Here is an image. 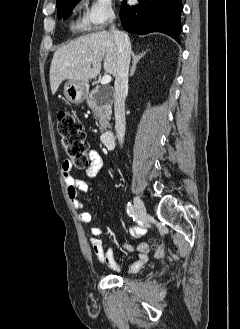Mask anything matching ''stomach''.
<instances>
[{"mask_svg":"<svg viewBox=\"0 0 240 329\" xmlns=\"http://www.w3.org/2000/svg\"><path fill=\"white\" fill-rule=\"evenodd\" d=\"M88 89L87 82L68 80L64 85V96L69 102L78 104L87 97Z\"/></svg>","mask_w":240,"mask_h":329,"instance_id":"stomach-1","label":"stomach"}]
</instances>
